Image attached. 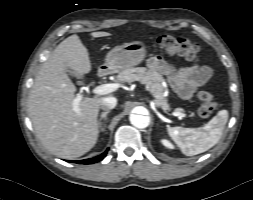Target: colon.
Wrapping results in <instances>:
<instances>
[{"label":"colon","instance_id":"obj_1","mask_svg":"<svg viewBox=\"0 0 253 200\" xmlns=\"http://www.w3.org/2000/svg\"><path fill=\"white\" fill-rule=\"evenodd\" d=\"M154 48H157L170 55H178L186 60L197 62L200 55V47L182 36L162 35L157 37L153 43ZM199 98V115L207 118L212 115L216 109V102L211 92L202 90L198 94Z\"/></svg>","mask_w":253,"mask_h":200}]
</instances>
